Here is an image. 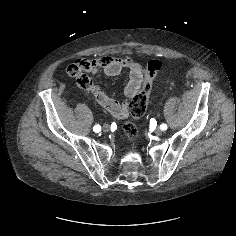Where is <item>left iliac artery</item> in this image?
<instances>
[{"mask_svg": "<svg viewBox=\"0 0 236 236\" xmlns=\"http://www.w3.org/2000/svg\"><path fill=\"white\" fill-rule=\"evenodd\" d=\"M160 128L164 131L167 130L168 126L165 123H163L160 125Z\"/></svg>", "mask_w": 236, "mask_h": 236, "instance_id": "left-iliac-artery-1", "label": "left iliac artery"}]
</instances>
